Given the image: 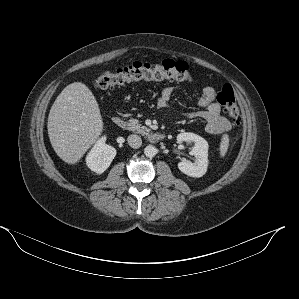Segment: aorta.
Segmentation results:
<instances>
[{
	"mask_svg": "<svg viewBox=\"0 0 299 299\" xmlns=\"http://www.w3.org/2000/svg\"><path fill=\"white\" fill-rule=\"evenodd\" d=\"M157 152H158L157 148L153 145H148L144 149V154L150 158L154 157L157 154Z\"/></svg>",
	"mask_w": 299,
	"mask_h": 299,
	"instance_id": "obj_1",
	"label": "aorta"
}]
</instances>
